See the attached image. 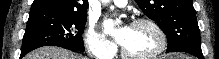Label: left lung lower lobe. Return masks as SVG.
Masks as SVG:
<instances>
[{
  "label": "left lung lower lobe",
  "mask_w": 219,
  "mask_h": 59,
  "mask_svg": "<svg viewBox=\"0 0 219 59\" xmlns=\"http://www.w3.org/2000/svg\"><path fill=\"white\" fill-rule=\"evenodd\" d=\"M167 52H186L189 54H192L196 56L199 59H204L202 56V50H201V45L200 43H194V42H186L182 43L170 50H167Z\"/></svg>",
  "instance_id": "obj_1"
}]
</instances>
